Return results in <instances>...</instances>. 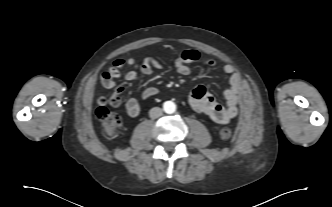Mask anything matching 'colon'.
<instances>
[{"label": "colon", "instance_id": "5ec220e1", "mask_svg": "<svg viewBox=\"0 0 332 207\" xmlns=\"http://www.w3.org/2000/svg\"><path fill=\"white\" fill-rule=\"evenodd\" d=\"M121 103V96L114 93L109 98L101 96L98 99L97 117L100 120L103 128V133L107 138H115L122 126L121 117L109 110L108 104L111 106H118ZM232 135L229 128H223L220 131V136L223 139H228Z\"/></svg>", "mask_w": 332, "mask_h": 207}]
</instances>
